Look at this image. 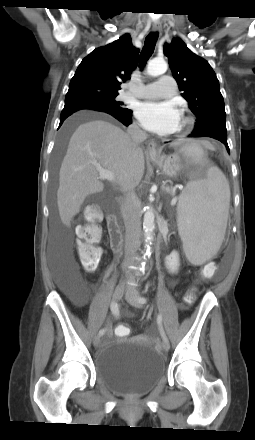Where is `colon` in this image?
<instances>
[{
  "instance_id": "colon-1",
  "label": "colon",
  "mask_w": 255,
  "mask_h": 440,
  "mask_svg": "<svg viewBox=\"0 0 255 440\" xmlns=\"http://www.w3.org/2000/svg\"><path fill=\"white\" fill-rule=\"evenodd\" d=\"M86 223L77 230L79 242L77 253L80 258L81 265L87 270L95 269L101 258V251L96 244L101 240V229L97 225L100 220V212L90 207L85 212ZM196 298L195 292L192 290L185 296V302L190 304ZM116 334L120 337H126L130 334V328L127 325H120L116 328Z\"/></svg>"
}]
</instances>
